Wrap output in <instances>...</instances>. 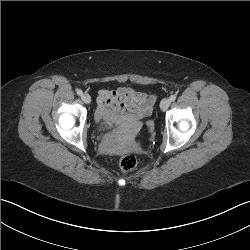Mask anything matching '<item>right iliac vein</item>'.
Returning a JSON list of instances; mask_svg holds the SVG:
<instances>
[{
	"label": "right iliac vein",
	"instance_id": "1",
	"mask_svg": "<svg viewBox=\"0 0 250 250\" xmlns=\"http://www.w3.org/2000/svg\"><path fill=\"white\" fill-rule=\"evenodd\" d=\"M81 99L83 100L84 103L89 104L91 102V97L89 94L84 93L81 95Z\"/></svg>",
	"mask_w": 250,
	"mask_h": 250
}]
</instances>
